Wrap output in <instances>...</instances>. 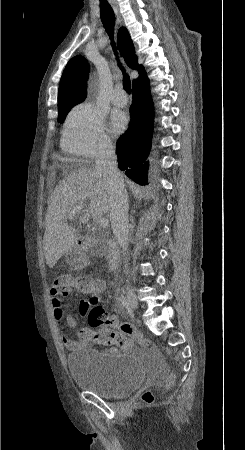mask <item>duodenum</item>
I'll return each mask as SVG.
<instances>
[{
    "instance_id": "duodenum-1",
    "label": "duodenum",
    "mask_w": 245,
    "mask_h": 450,
    "mask_svg": "<svg viewBox=\"0 0 245 450\" xmlns=\"http://www.w3.org/2000/svg\"><path fill=\"white\" fill-rule=\"evenodd\" d=\"M106 238H91L87 236L79 237L77 247L81 250L79 260L85 261V252L96 245H102L109 250V268L117 271L120 266V252L116 240L112 237L111 230L102 231ZM82 254V255H81Z\"/></svg>"
}]
</instances>
